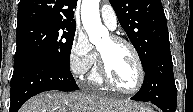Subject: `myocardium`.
<instances>
[{
  "mask_svg": "<svg viewBox=\"0 0 193 112\" xmlns=\"http://www.w3.org/2000/svg\"><path fill=\"white\" fill-rule=\"evenodd\" d=\"M111 41L115 44H123L126 45L132 52L136 65H137V71H138V78H137V82L136 85L131 88V89H124L121 88L120 86H118L110 77L105 62L103 60L102 55L100 54V52L98 51V73L102 79V81L107 84L110 88H112L113 90L122 93V94H135L137 93L143 83H144V78H145V73H144V67H143V63L141 60V57L139 55L138 50L136 49V47L133 45L132 42H130L128 39L120 37V36H111L110 37Z\"/></svg>",
  "mask_w": 193,
  "mask_h": 112,
  "instance_id": "obj_1",
  "label": "myocardium"
}]
</instances>
